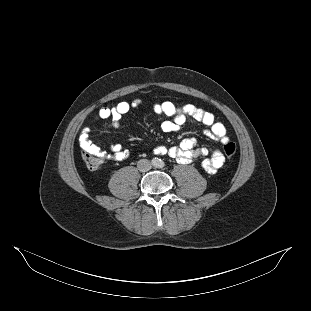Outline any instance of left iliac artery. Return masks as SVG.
<instances>
[{"label": "left iliac artery", "instance_id": "obj_1", "mask_svg": "<svg viewBox=\"0 0 311 311\" xmlns=\"http://www.w3.org/2000/svg\"><path fill=\"white\" fill-rule=\"evenodd\" d=\"M164 166V162H160V167H163Z\"/></svg>", "mask_w": 311, "mask_h": 311}]
</instances>
